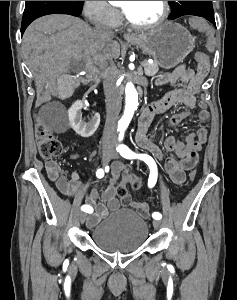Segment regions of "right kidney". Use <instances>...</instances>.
<instances>
[{
    "label": "right kidney",
    "mask_w": 237,
    "mask_h": 300,
    "mask_svg": "<svg viewBox=\"0 0 237 300\" xmlns=\"http://www.w3.org/2000/svg\"><path fill=\"white\" fill-rule=\"evenodd\" d=\"M82 109V101L73 103L69 109L70 125L80 137H92L100 125V115L99 113H94L93 117L88 119V123H86L85 119H82Z\"/></svg>",
    "instance_id": "ca27d5eb"
}]
</instances>
